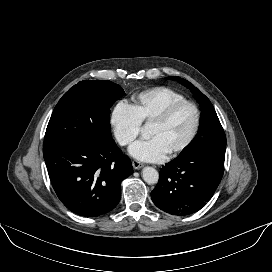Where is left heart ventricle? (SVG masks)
Listing matches in <instances>:
<instances>
[{
    "instance_id": "left-heart-ventricle-1",
    "label": "left heart ventricle",
    "mask_w": 272,
    "mask_h": 272,
    "mask_svg": "<svg viewBox=\"0 0 272 272\" xmlns=\"http://www.w3.org/2000/svg\"><path fill=\"white\" fill-rule=\"evenodd\" d=\"M194 125V113L190 107L178 110L167 122L151 123L148 128L150 137H158L167 152L181 145L189 136Z\"/></svg>"
}]
</instances>
